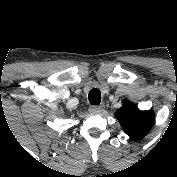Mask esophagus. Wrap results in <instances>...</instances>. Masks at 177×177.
I'll return each instance as SVG.
<instances>
[{"label": "esophagus", "instance_id": "1", "mask_svg": "<svg viewBox=\"0 0 177 177\" xmlns=\"http://www.w3.org/2000/svg\"><path fill=\"white\" fill-rule=\"evenodd\" d=\"M104 110V105H94L89 108L91 113H101Z\"/></svg>", "mask_w": 177, "mask_h": 177}]
</instances>
